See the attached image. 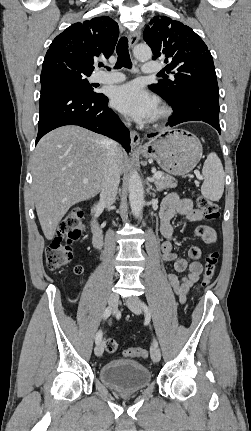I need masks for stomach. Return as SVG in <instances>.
I'll return each mask as SVG.
<instances>
[{
	"mask_svg": "<svg viewBox=\"0 0 251 431\" xmlns=\"http://www.w3.org/2000/svg\"><path fill=\"white\" fill-rule=\"evenodd\" d=\"M139 153L154 159L168 174L183 176L195 168L203 149L195 135L183 129H170L145 143Z\"/></svg>",
	"mask_w": 251,
	"mask_h": 431,
	"instance_id": "1",
	"label": "stomach"
}]
</instances>
